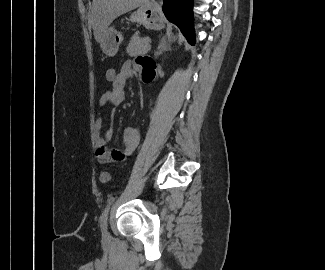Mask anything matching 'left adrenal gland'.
<instances>
[{
	"mask_svg": "<svg viewBox=\"0 0 325 270\" xmlns=\"http://www.w3.org/2000/svg\"><path fill=\"white\" fill-rule=\"evenodd\" d=\"M167 49H170V45L167 43L166 38L163 37L159 42L157 51L155 52V57L157 58L159 55H161L163 53V51H165Z\"/></svg>",
	"mask_w": 325,
	"mask_h": 270,
	"instance_id": "a2214340",
	"label": "left adrenal gland"
}]
</instances>
